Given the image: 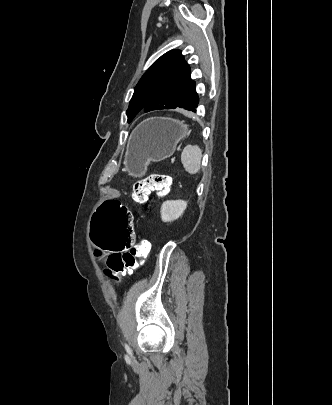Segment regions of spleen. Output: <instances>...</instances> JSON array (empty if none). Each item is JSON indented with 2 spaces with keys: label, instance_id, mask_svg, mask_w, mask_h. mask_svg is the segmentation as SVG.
<instances>
[{
  "label": "spleen",
  "instance_id": "1",
  "mask_svg": "<svg viewBox=\"0 0 332 405\" xmlns=\"http://www.w3.org/2000/svg\"><path fill=\"white\" fill-rule=\"evenodd\" d=\"M202 150L197 145H187L182 154L181 162L189 174H197L200 170Z\"/></svg>",
  "mask_w": 332,
  "mask_h": 405
}]
</instances>
